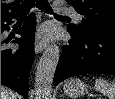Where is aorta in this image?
<instances>
[{
    "label": "aorta",
    "mask_w": 115,
    "mask_h": 99,
    "mask_svg": "<svg viewBox=\"0 0 115 99\" xmlns=\"http://www.w3.org/2000/svg\"><path fill=\"white\" fill-rule=\"evenodd\" d=\"M59 57L60 50L55 44L49 46L43 53L35 77L36 99H49L51 97L52 82Z\"/></svg>",
    "instance_id": "obj_1"
}]
</instances>
